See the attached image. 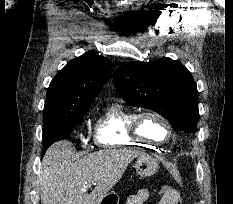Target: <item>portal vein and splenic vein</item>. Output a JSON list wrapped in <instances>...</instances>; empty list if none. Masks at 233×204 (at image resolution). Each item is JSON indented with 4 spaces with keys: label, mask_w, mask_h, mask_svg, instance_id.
I'll use <instances>...</instances> for the list:
<instances>
[{
    "label": "portal vein and splenic vein",
    "mask_w": 233,
    "mask_h": 204,
    "mask_svg": "<svg viewBox=\"0 0 233 204\" xmlns=\"http://www.w3.org/2000/svg\"><path fill=\"white\" fill-rule=\"evenodd\" d=\"M95 185H96L95 183H90L88 186L92 187V186H95Z\"/></svg>",
    "instance_id": "obj_1"
}]
</instances>
